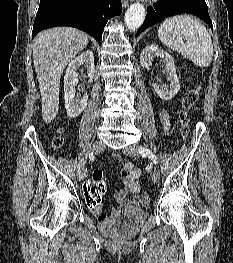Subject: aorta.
<instances>
[{"label": "aorta", "instance_id": "obj_1", "mask_svg": "<svg viewBox=\"0 0 233 263\" xmlns=\"http://www.w3.org/2000/svg\"><path fill=\"white\" fill-rule=\"evenodd\" d=\"M145 19V8L142 4H132L125 14V24L129 30H137Z\"/></svg>", "mask_w": 233, "mask_h": 263}]
</instances>
